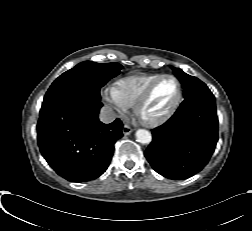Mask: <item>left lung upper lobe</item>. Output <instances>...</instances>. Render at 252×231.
Listing matches in <instances>:
<instances>
[{"label":"left lung upper lobe","mask_w":252,"mask_h":231,"mask_svg":"<svg viewBox=\"0 0 252 231\" xmlns=\"http://www.w3.org/2000/svg\"><path fill=\"white\" fill-rule=\"evenodd\" d=\"M176 76L184 86V97H190L199 94H210L209 88L198 78L190 76L181 69L176 68Z\"/></svg>","instance_id":"left-lung-upper-lobe-1"}]
</instances>
